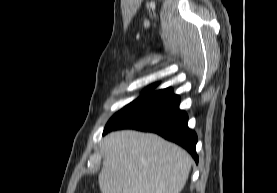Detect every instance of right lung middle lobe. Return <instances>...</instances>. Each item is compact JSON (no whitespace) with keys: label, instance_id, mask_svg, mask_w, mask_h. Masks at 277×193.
Listing matches in <instances>:
<instances>
[{"label":"right lung middle lobe","instance_id":"1","mask_svg":"<svg viewBox=\"0 0 277 193\" xmlns=\"http://www.w3.org/2000/svg\"><path fill=\"white\" fill-rule=\"evenodd\" d=\"M143 97H144V96L138 97L136 100H134L133 102H131L130 104H128V105H127L126 107H124L122 110H124L125 108H127V107L131 106L132 104L136 103L137 101H139V100H140L141 98H143ZM122 110H121V111H122ZM121 111H119V112H121ZM119 112H118V113H119ZM118 113H116V114H118ZM116 114H115V115H116ZM115 115H114V116H115Z\"/></svg>","mask_w":277,"mask_h":193}]
</instances>
